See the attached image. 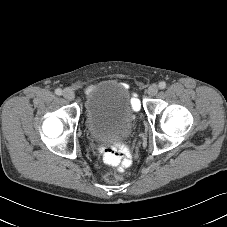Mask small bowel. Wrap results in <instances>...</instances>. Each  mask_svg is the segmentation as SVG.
<instances>
[{
    "label": "small bowel",
    "mask_w": 227,
    "mask_h": 227,
    "mask_svg": "<svg viewBox=\"0 0 227 227\" xmlns=\"http://www.w3.org/2000/svg\"><path fill=\"white\" fill-rule=\"evenodd\" d=\"M93 86L91 85V86H89V87H87V89H86V91H89V90H91V88H92ZM136 101V100H135ZM122 164V166H128L129 165V163H130V161H129V159L128 158H124V159H122V161L121 162H119V163H117L116 165H118V164Z\"/></svg>",
    "instance_id": "obj_1"
}]
</instances>
